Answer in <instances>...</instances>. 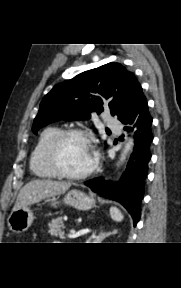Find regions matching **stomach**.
<instances>
[{"mask_svg": "<svg viewBox=\"0 0 181 288\" xmlns=\"http://www.w3.org/2000/svg\"><path fill=\"white\" fill-rule=\"evenodd\" d=\"M53 206H55L58 202L56 198H52L49 200ZM63 202L66 205H70L78 210H89L94 207L95 201L84 192L79 190H71L69 191ZM34 219L33 213L28 207H22L13 211L8 217V226L10 230L16 233H21L26 231L32 224Z\"/></svg>", "mask_w": 181, "mask_h": 288, "instance_id": "1", "label": "stomach"}]
</instances>
